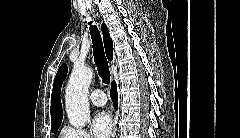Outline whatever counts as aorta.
I'll return each mask as SVG.
<instances>
[{
    "label": "aorta",
    "instance_id": "1",
    "mask_svg": "<svg viewBox=\"0 0 240 138\" xmlns=\"http://www.w3.org/2000/svg\"><path fill=\"white\" fill-rule=\"evenodd\" d=\"M92 76L90 67L75 65L66 88V112L71 125L76 128L84 127L90 119L88 90Z\"/></svg>",
    "mask_w": 240,
    "mask_h": 138
}]
</instances>
